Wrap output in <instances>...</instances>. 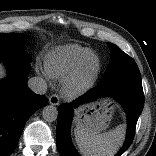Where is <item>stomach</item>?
Listing matches in <instances>:
<instances>
[{
	"instance_id": "1",
	"label": "stomach",
	"mask_w": 156,
	"mask_h": 156,
	"mask_svg": "<svg viewBox=\"0 0 156 156\" xmlns=\"http://www.w3.org/2000/svg\"><path fill=\"white\" fill-rule=\"evenodd\" d=\"M111 116L107 113V111H103L102 113L96 112L95 114H82L77 113L75 122L80 125H92L98 132L106 129L107 123L110 120Z\"/></svg>"
}]
</instances>
